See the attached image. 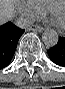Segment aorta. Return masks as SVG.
Wrapping results in <instances>:
<instances>
[{
	"label": "aorta",
	"mask_w": 65,
	"mask_h": 89,
	"mask_svg": "<svg viewBox=\"0 0 65 89\" xmlns=\"http://www.w3.org/2000/svg\"><path fill=\"white\" fill-rule=\"evenodd\" d=\"M58 40V34L53 29H47L42 34V41L46 45V47H54L55 45H57Z\"/></svg>",
	"instance_id": "aorta-1"
}]
</instances>
